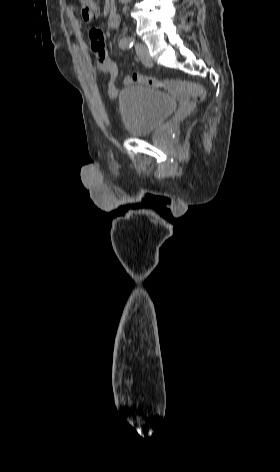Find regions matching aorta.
I'll list each match as a JSON object with an SVG mask.
<instances>
[{
  "instance_id": "aorta-1",
  "label": "aorta",
  "mask_w": 280,
  "mask_h": 472,
  "mask_svg": "<svg viewBox=\"0 0 280 472\" xmlns=\"http://www.w3.org/2000/svg\"><path fill=\"white\" fill-rule=\"evenodd\" d=\"M122 2H127V1H130V0H121Z\"/></svg>"
}]
</instances>
